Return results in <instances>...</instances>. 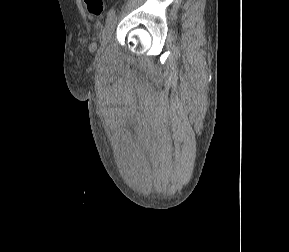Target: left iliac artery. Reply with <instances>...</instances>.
<instances>
[{"mask_svg":"<svg viewBox=\"0 0 289 252\" xmlns=\"http://www.w3.org/2000/svg\"><path fill=\"white\" fill-rule=\"evenodd\" d=\"M115 13H116V10L114 8H111L107 13V20L112 18L115 15Z\"/></svg>","mask_w":289,"mask_h":252,"instance_id":"44dca946","label":"left iliac artery"}]
</instances>
